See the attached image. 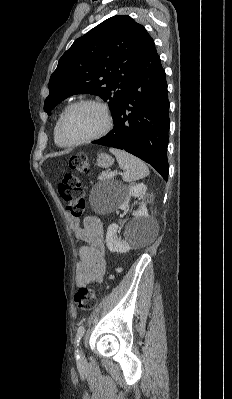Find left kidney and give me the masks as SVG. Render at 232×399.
<instances>
[{
	"label": "left kidney",
	"instance_id": "left-kidney-1",
	"mask_svg": "<svg viewBox=\"0 0 232 399\" xmlns=\"http://www.w3.org/2000/svg\"><path fill=\"white\" fill-rule=\"evenodd\" d=\"M146 190L147 186H145V184H130L126 190H123V201L120 203V209L129 207L128 203L131 198L144 200ZM133 215H135L134 219L129 221L125 229V239H119V237H117V231L119 229L117 223L108 225L106 243L110 251L126 253L129 249H132L133 245H138V243L145 241L146 237H148L152 229V223L149 219L145 201H141L138 209L133 211Z\"/></svg>",
	"mask_w": 232,
	"mask_h": 399
}]
</instances>
